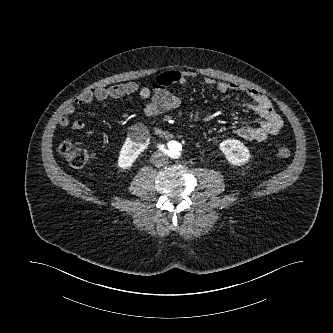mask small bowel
Instances as JSON below:
<instances>
[{"instance_id":"c3829d8e","label":"small bowel","mask_w":333,"mask_h":333,"mask_svg":"<svg viewBox=\"0 0 333 333\" xmlns=\"http://www.w3.org/2000/svg\"><path fill=\"white\" fill-rule=\"evenodd\" d=\"M192 71H166L158 75L151 88L140 85L136 82H127L113 86L99 87L93 91L80 94L73 101V104L67 106L59 119L61 127H67L70 119L76 111V107L83 104H89L94 100L105 101L108 99H119L125 96H138L149 102L143 109L144 116L153 117L179 107V97L169 90L172 85H185L190 78L195 77ZM204 83L209 86H215L220 93L231 91H240L247 94L252 102L244 104L254 111L261 122L258 126L244 125L237 129V135L245 140L263 141L267 137L276 135L283 127L281 116L275 112L269 99L260 91L248 88L235 82L215 81L213 78H204ZM86 123L82 119H77L71 123V128L76 131L83 130Z\"/></svg>"}]
</instances>
